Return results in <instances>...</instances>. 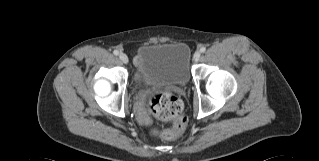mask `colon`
Instances as JSON below:
<instances>
[{
  "label": "colon",
  "instance_id": "1",
  "mask_svg": "<svg viewBox=\"0 0 319 161\" xmlns=\"http://www.w3.org/2000/svg\"><path fill=\"white\" fill-rule=\"evenodd\" d=\"M148 107L159 120L173 124V129L166 131L167 139L179 138L186 128L187 118L183 114V102L170 93L157 92L148 99Z\"/></svg>",
  "mask_w": 319,
  "mask_h": 161
}]
</instances>
